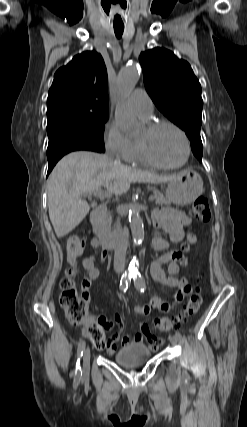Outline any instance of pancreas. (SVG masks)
<instances>
[{"label":"pancreas","mask_w":247,"mask_h":427,"mask_svg":"<svg viewBox=\"0 0 247 427\" xmlns=\"http://www.w3.org/2000/svg\"><path fill=\"white\" fill-rule=\"evenodd\" d=\"M154 198H155V203L157 205H163V204H169L170 203V201L162 193H160L157 190L154 191ZM111 222H112V218H111L110 213L104 212L102 214L101 223H102V226L104 227L105 231L110 230Z\"/></svg>","instance_id":"pancreas-1"}]
</instances>
